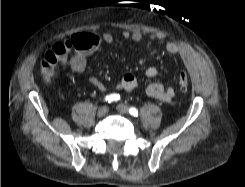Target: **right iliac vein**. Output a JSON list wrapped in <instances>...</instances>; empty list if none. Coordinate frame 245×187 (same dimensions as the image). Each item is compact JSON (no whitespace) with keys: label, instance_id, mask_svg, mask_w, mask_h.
<instances>
[{"label":"right iliac vein","instance_id":"63e3f726","mask_svg":"<svg viewBox=\"0 0 245 187\" xmlns=\"http://www.w3.org/2000/svg\"><path fill=\"white\" fill-rule=\"evenodd\" d=\"M107 113H108V107H107V106H102V107L98 110L97 115H98V117H103V116H105Z\"/></svg>","mask_w":245,"mask_h":187}]
</instances>
